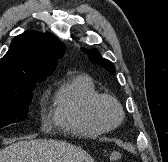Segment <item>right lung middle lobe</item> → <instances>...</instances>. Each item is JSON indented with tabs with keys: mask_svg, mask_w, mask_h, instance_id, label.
Segmentation results:
<instances>
[{
	"mask_svg": "<svg viewBox=\"0 0 168 162\" xmlns=\"http://www.w3.org/2000/svg\"><path fill=\"white\" fill-rule=\"evenodd\" d=\"M37 82L41 81H24L13 88L0 90V128L27 118Z\"/></svg>",
	"mask_w": 168,
	"mask_h": 162,
	"instance_id": "obj_1",
	"label": "right lung middle lobe"
}]
</instances>
